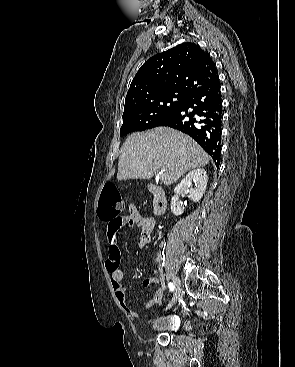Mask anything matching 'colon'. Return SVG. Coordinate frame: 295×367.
<instances>
[{"label": "colon", "mask_w": 295, "mask_h": 367, "mask_svg": "<svg viewBox=\"0 0 295 367\" xmlns=\"http://www.w3.org/2000/svg\"><path fill=\"white\" fill-rule=\"evenodd\" d=\"M124 209L123 198L113 183H106L102 189L100 197V213L105 221H114L119 219Z\"/></svg>", "instance_id": "5ec220e1"}]
</instances>
